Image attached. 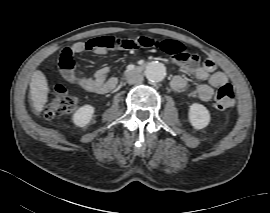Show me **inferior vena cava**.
I'll use <instances>...</instances> for the list:
<instances>
[{"label": "inferior vena cava", "mask_w": 270, "mask_h": 213, "mask_svg": "<svg viewBox=\"0 0 270 213\" xmlns=\"http://www.w3.org/2000/svg\"><path fill=\"white\" fill-rule=\"evenodd\" d=\"M143 81V76L140 73L130 72L127 76L128 84H138Z\"/></svg>", "instance_id": "inferior-vena-cava-1"}]
</instances>
